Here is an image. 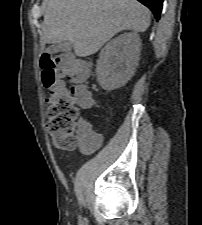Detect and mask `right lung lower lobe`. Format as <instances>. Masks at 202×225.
Instances as JSON below:
<instances>
[{"mask_svg": "<svg viewBox=\"0 0 202 225\" xmlns=\"http://www.w3.org/2000/svg\"><path fill=\"white\" fill-rule=\"evenodd\" d=\"M138 1L147 6L152 11L157 21L160 19L163 0H138Z\"/></svg>", "mask_w": 202, "mask_h": 225, "instance_id": "1", "label": "right lung lower lobe"}]
</instances>
